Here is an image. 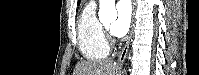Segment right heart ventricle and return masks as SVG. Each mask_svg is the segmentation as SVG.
Returning <instances> with one entry per match:
<instances>
[{
    "mask_svg": "<svg viewBox=\"0 0 199 75\" xmlns=\"http://www.w3.org/2000/svg\"><path fill=\"white\" fill-rule=\"evenodd\" d=\"M79 49L89 60H102L109 54L102 23L96 17L94 6L83 11L77 29Z\"/></svg>",
    "mask_w": 199,
    "mask_h": 75,
    "instance_id": "1",
    "label": "right heart ventricle"
}]
</instances>
